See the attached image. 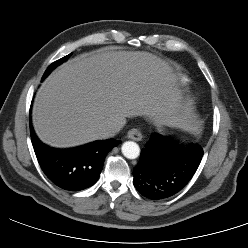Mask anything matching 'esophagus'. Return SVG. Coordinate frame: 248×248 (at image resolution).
I'll return each mask as SVG.
<instances>
[{"label": "esophagus", "mask_w": 248, "mask_h": 248, "mask_svg": "<svg viewBox=\"0 0 248 248\" xmlns=\"http://www.w3.org/2000/svg\"><path fill=\"white\" fill-rule=\"evenodd\" d=\"M142 137H143L142 133L137 128H133V129L129 130L127 133V138L134 140V141H140L142 139Z\"/></svg>", "instance_id": "34e87169"}]
</instances>
